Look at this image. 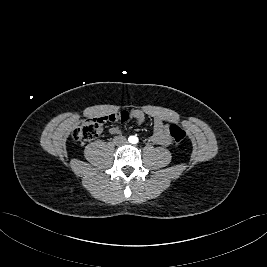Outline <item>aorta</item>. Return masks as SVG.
Returning a JSON list of instances; mask_svg holds the SVG:
<instances>
[{"label":"aorta","instance_id":"762f6f07","mask_svg":"<svg viewBox=\"0 0 267 267\" xmlns=\"http://www.w3.org/2000/svg\"><path fill=\"white\" fill-rule=\"evenodd\" d=\"M133 139H134V137H130V140H129V141H130V142H133Z\"/></svg>","mask_w":267,"mask_h":267}]
</instances>
